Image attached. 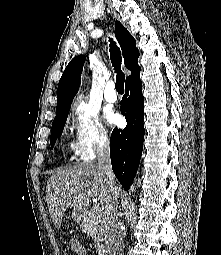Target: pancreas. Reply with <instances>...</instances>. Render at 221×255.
<instances>
[{
    "label": "pancreas",
    "instance_id": "cf45deb5",
    "mask_svg": "<svg viewBox=\"0 0 221 255\" xmlns=\"http://www.w3.org/2000/svg\"><path fill=\"white\" fill-rule=\"evenodd\" d=\"M82 230L94 239L97 247H101L103 221L100 212H86L82 222Z\"/></svg>",
    "mask_w": 221,
    "mask_h": 255
}]
</instances>
